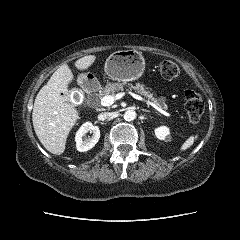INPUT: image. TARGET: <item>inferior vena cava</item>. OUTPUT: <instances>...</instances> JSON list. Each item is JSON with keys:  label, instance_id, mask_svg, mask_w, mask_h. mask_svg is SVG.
<instances>
[{"label": "inferior vena cava", "instance_id": "inferior-vena-cava-1", "mask_svg": "<svg viewBox=\"0 0 240 240\" xmlns=\"http://www.w3.org/2000/svg\"><path fill=\"white\" fill-rule=\"evenodd\" d=\"M114 113L113 112H104V113H101L99 115V117L102 119V120H108V119H111L113 117Z\"/></svg>", "mask_w": 240, "mask_h": 240}]
</instances>
